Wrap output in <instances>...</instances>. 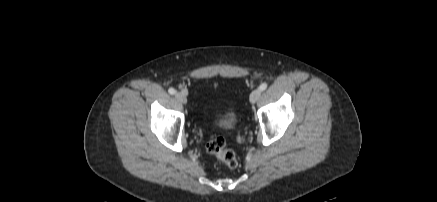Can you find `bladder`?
<instances>
[{"label": "bladder", "mask_w": 437, "mask_h": 202, "mask_svg": "<svg viewBox=\"0 0 437 202\" xmlns=\"http://www.w3.org/2000/svg\"><path fill=\"white\" fill-rule=\"evenodd\" d=\"M218 127L223 131H231L235 129L237 125V116L233 111H230L219 118Z\"/></svg>", "instance_id": "obj_1"}]
</instances>
